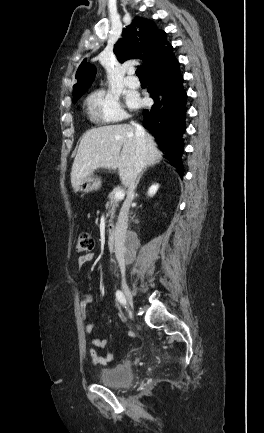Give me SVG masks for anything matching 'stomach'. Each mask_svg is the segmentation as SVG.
<instances>
[{"mask_svg": "<svg viewBox=\"0 0 264 433\" xmlns=\"http://www.w3.org/2000/svg\"><path fill=\"white\" fill-rule=\"evenodd\" d=\"M101 187V180L93 175L87 176L80 185L79 191L82 193H89L97 191Z\"/></svg>", "mask_w": 264, "mask_h": 433, "instance_id": "0dacf381", "label": "stomach"}]
</instances>
